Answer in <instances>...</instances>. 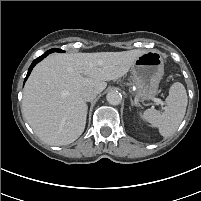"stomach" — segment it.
<instances>
[{
    "label": "stomach",
    "mask_w": 201,
    "mask_h": 201,
    "mask_svg": "<svg viewBox=\"0 0 201 201\" xmlns=\"http://www.w3.org/2000/svg\"><path fill=\"white\" fill-rule=\"evenodd\" d=\"M133 86L131 92L136 98L152 100L158 91L159 82L164 74V61L159 51H145L131 66Z\"/></svg>",
    "instance_id": "stomach-1"
}]
</instances>
